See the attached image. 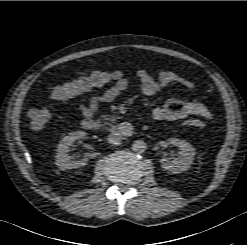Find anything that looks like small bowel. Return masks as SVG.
Returning <instances> with one entry per match:
<instances>
[{"instance_id":"small-bowel-1","label":"small bowel","mask_w":247,"mask_h":245,"mask_svg":"<svg viewBox=\"0 0 247 245\" xmlns=\"http://www.w3.org/2000/svg\"><path fill=\"white\" fill-rule=\"evenodd\" d=\"M135 83L146 96H153L171 84L180 85L186 89L193 90L194 83L172 71H163L153 75L147 70H139L135 78L121 76L114 84L99 95L91 97L88 104L79 106V111L85 118H92L98 112L100 105L116 100L123 91ZM152 117L157 121H178L189 117H197L212 120V112L201 102L191 100L171 99L163 106L152 110Z\"/></svg>"}]
</instances>
